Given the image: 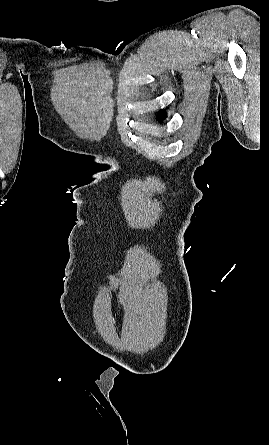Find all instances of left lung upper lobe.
Returning a JSON list of instances; mask_svg holds the SVG:
<instances>
[{
    "instance_id": "obj_1",
    "label": "left lung upper lobe",
    "mask_w": 269,
    "mask_h": 445,
    "mask_svg": "<svg viewBox=\"0 0 269 445\" xmlns=\"http://www.w3.org/2000/svg\"><path fill=\"white\" fill-rule=\"evenodd\" d=\"M166 118V113H165V111H161L160 113H159V115L157 116V120H164Z\"/></svg>"
}]
</instances>
